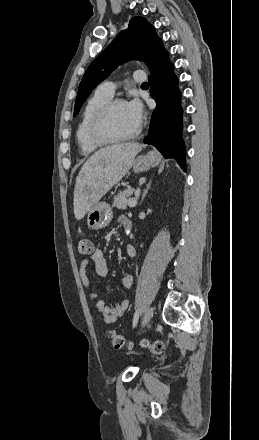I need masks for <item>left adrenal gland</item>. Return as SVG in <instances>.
<instances>
[{
	"instance_id": "a2214340",
	"label": "left adrenal gland",
	"mask_w": 259,
	"mask_h": 440,
	"mask_svg": "<svg viewBox=\"0 0 259 440\" xmlns=\"http://www.w3.org/2000/svg\"><path fill=\"white\" fill-rule=\"evenodd\" d=\"M150 185H151V181H149V183L146 185V189H144V192L142 194V201L144 200L148 190L150 189Z\"/></svg>"
}]
</instances>
